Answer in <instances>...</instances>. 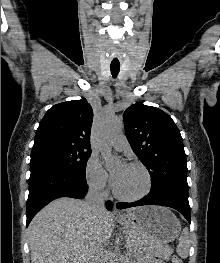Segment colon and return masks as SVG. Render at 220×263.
Masks as SVG:
<instances>
[{
    "instance_id": "colon-1",
    "label": "colon",
    "mask_w": 220,
    "mask_h": 263,
    "mask_svg": "<svg viewBox=\"0 0 220 263\" xmlns=\"http://www.w3.org/2000/svg\"><path fill=\"white\" fill-rule=\"evenodd\" d=\"M171 263H184L183 260L178 256H173L171 258Z\"/></svg>"
}]
</instances>
